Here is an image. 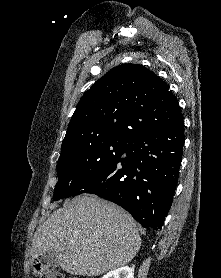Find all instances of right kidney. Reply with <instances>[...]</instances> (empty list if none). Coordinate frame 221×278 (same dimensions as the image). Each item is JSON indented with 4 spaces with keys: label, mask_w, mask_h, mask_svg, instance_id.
Segmentation results:
<instances>
[{
    "label": "right kidney",
    "mask_w": 221,
    "mask_h": 278,
    "mask_svg": "<svg viewBox=\"0 0 221 278\" xmlns=\"http://www.w3.org/2000/svg\"><path fill=\"white\" fill-rule=\"evenodd\" d=\"M102 278H134V266H123L108 272Z\"/></svg>",
    "instance_id": "ca27d5eb"
}]
</instances>
